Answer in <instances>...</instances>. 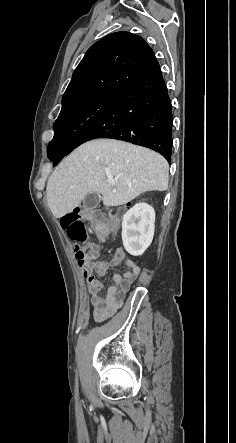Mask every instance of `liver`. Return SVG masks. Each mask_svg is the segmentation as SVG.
Wrapping results in <instances>:
<instances>
[{"mask_svg":"<svg viewBox=\"0 0 236 443\" xmlns=\"http://www.w3.org/2000/svg\"><path fill=\"white\" fill-rule=\"evenodd\" d=\"M168 181L169 165L159 153L119 140L98 139L64 158L49 177L46 191L53 215L61 218L88 193H99L105 206L117 207L146 191H165Z\"/></svg>","mask_w":236,"mask_h":443,"instance_id":"6515ba94","label":"liver"}]
</instances>
